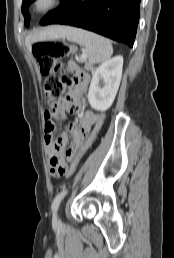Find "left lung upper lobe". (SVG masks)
Segmentation results:
<instances>
[{
	"label": "left lung upper lobe",
	"mask_w": 174,
	"mask_h": 258,
	"mask_svg": "<svg viewBox=\"0 0 174 258\" xmlns=\"http://www.w3.org/2000/svg\"><path fill=\"white\" fill-rule=\"evenodd\" d=\"M34 0H23V3H22V13L24 15V19H25V25L26 27H28L29 23L28 21L30 20V15L28 13V7L29 5L33 2ZM64 0H61V3L63 2ZM55 11V10H54ZM54 11H51L49 12L44 18L43 20L41 21V24L44 23V21L54 12Z\"/></svg>",
	"instance_id": "5c2ea615"
}]
</instances>
